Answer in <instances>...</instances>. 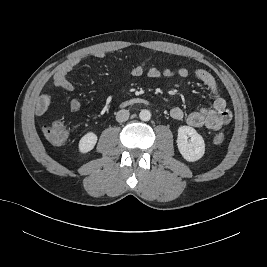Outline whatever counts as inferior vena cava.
Segmentation results:
<instances>
[{"label": "inferior vena cava", "instance_id": "602c4592", "mask_svg": "<svg viewBox=\"0 0 267 267\" xmlns=\"http://www.w3.org/2000/svg\"><path fill=\"white\" fill-rule=\"evenodd\" d=\"M129 115H130V113L128 110H125V109L119 110L116 114V121L117 122H125L128 120Z\"/></svg>", "mask_w": 267, "mask_h": 267}]
</instances>
